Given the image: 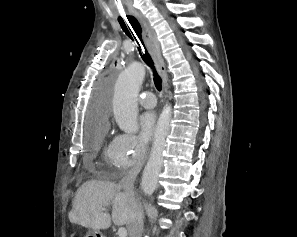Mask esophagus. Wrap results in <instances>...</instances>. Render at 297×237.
Listing matches in <instances>:
<instances>
[{
    "label": "esophagus",
    "instance_id": "1",
    "mask_svg": "<svg viewBox=\"0 0 297 237\" xmlns=\"http://www.w3.org/2000/svg\"><path fill=\"white\" fill-rule=\"evenodd\" d=\"M136 17L138 18L140 25L142 27L143 36H144L146 45L149 49V52L152 55V58L154 59L161 73L162 80H163V90L166 91L168 75H167L165 63L162 58L159 43L156 39L155 33L144 16H142L141 14H136Z\"/></svg>",
    "mask_w": 297,
    "mask_h": 237
}]
</instances>
